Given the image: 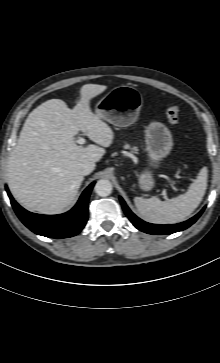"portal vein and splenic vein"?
Instances as JSON below:
<instances>
[{"instance_id":"18ae733b","label":"portal vein and splenic vein","mask_w":220,"mask_h":363,"mask_svg":"<svg viewBox=\"0 0 220 363\" xmlns=\"http://www.w3.org/2000/svg\"><path fill=\"white\" fill-rule=\"evenodd\" d=\"M85 142H86V140L83 137H79L78 140H77V143L80 144V145L85 144ZM163 198L167 199V196H166L165 192H163Z\"/></svg>"}]
</instances>
